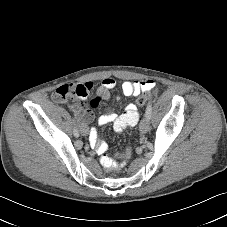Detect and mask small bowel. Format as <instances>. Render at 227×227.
Here are the masks:
<instances>
[{
    "label": "small bowel",
    "instance_id": "1",
    "mask_svg": "<svg viewBox=\"0 0 227 227\" xmlns=\"http://www.w3.org/2000/svg\"><path fill=\"white\" fill-rule=\"evenodd\" d=\"M116 85V81L113 78L107 77L102 80L101 86L98 88L97 93L103 100L109 98V90L113 89ZM81 88V93L71 97L72 102H67V99L55 100L67 104V106L75 113L79 120L81 130H87L89 134V142L92 148H94L98 155L102 156L107 154L108 145L106 142L98 138V134L95 128L88 129L87 124L91 121L92 116L82 105V102L87 98L93 84L91 82H85L78 84ZM154 87L152 80L144 81H124L121 85L122 93L125 96H137L142 92H147ZM139 121V112L134 104H129L122 114L110 111L98 118V125H106L108 123H114L116 131H121L127 126H134Z\"/></svg>",
    "mask_w": 227,
    "mask_h": 227
}]
</instances>
